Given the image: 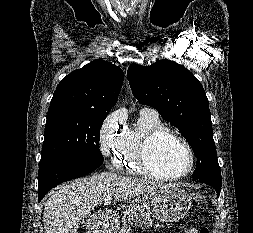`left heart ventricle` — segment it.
<instances>
[{
	"instance_id": "obj_1",
	"label": "left heart ventricle",
	"mask_w": 253,
	"mask_h": 233,
	"mask_svg": "<svg viewBox=\"0 0 253 233\" xmlns=\"http://www.w3.org/2000/svg\"><path fill=\"white\" fill-rule=\"evenodd\" d=\"M149 164L157 174L178 175L188 168L189 154L182 143L170 136H164L151 148Z\"/></svg>"
}]
</instances>
